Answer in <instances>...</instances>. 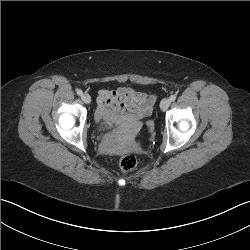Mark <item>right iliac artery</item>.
<instances>
[{
    "label": "right iliac artery",
    "instance_id": "1",
    "mask_svg": "<svg viewBox=\"0 0 250 250\" xmlns=\"http://www.w3.org/2000/svg\"><path fill=\"white\" fill-rule=\"evenodd\" d=\"M82 93H83L82 90H80V89L77 90V94H78L79 96L82 95Z\"/></svg>",
    "mask_w": 250,
    "mask_h": 250
}]
</instances>
